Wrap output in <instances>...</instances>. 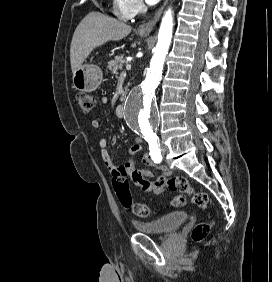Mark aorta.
I'll use <instances>...</instances> for the list:
<instances>
[{
    "instance_id": "1",
    "label": "aorta",
    "mask_w": 272,
    "mask_h": 282,
    "mask_svg": "<svg viewBox=\"0 0 272 282\" xmlns=\"http://www.w3.org/2000/svg\"><path fill=\"white\" fill-rule=\"evenodd\" d=\"M173 13L164 14L158 34V42L145 79L129 92L125 103V119L130 128L146 139L157 138L159 122L155 92L160 83L165 57L172 39Z\"/></svg>"
}]
</instances>
